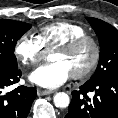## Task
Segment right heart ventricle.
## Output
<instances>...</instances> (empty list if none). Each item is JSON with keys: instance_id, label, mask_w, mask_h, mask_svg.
Here are the masks:
<instances>
[{"instance_id": "obj_1", "label": "right heart ventricle", "mask_w": 118, "mask_h": 118, "mask_svg": "<svg viewBox=\"0 0 118 118\" xmlns=\"http://www.w3.org/2000/svg\"><path fill=\"white\" fill-rule=\"evenodd\" d=\"M85 34L86 29L82 25L62 20L42 26L38 31L37 39L44 51L49 52L65 42Z\"/></svg>"}]
</instances>
